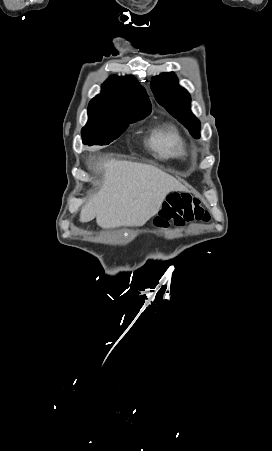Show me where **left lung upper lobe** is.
<instances>
[{
  "label": "left lung upper lobe",
  "mask_w": 272,
  "mask_h": 451,
  "mask_svg": "<svg viewBox=\"0 0 272 451\" xmlns=\"http://www.w3.org/2000/svg\"><path fill=\"white\" fill-rule=\"evenodd\" d=\"M151 88L156 100L189 129L194 137L199 138L200 122L190 110V94L178 85L175 74L161 73L153 77Z\"/></svg>",
  "instance_id": "obj_1"
}]
</instances>
